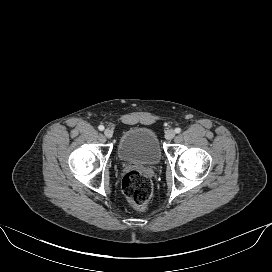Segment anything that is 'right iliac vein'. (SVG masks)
Masks as SVG:
<instances>
[{"label":"right iliac vein","instance_id":"obj_1","mask_svg":"<svg viewBox=\"0 0 272 272\" xmlns=\"http://www.w3.org/2000/svg\"><path fill=\"white\" fill-rule=\"evenodd\" d=\"M104 135L107 137V138H111L113 136V132L110 130V129H105L104 130Z\"/></svg>","mask_w":272,"mask_h":272}]
</instances>
